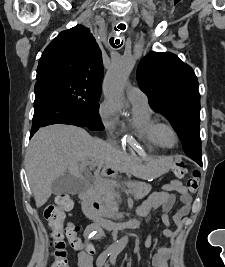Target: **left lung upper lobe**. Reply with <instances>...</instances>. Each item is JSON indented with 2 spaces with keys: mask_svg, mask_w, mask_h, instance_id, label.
Wrapping results in <instances>:
<instances>
[{
  "mask_svg": "<svg viewBox=\"0 0 225 267\" xmlns=\"http://www.w3.org/2000/svg\"><path fill=\"white\" fill-rule=\"evenodd\" d=\"M137 80L151 108L169 120L186 155L200 165V94L193 69L172 53L151 52L140 61Z\"/></svg>",
  "mask_w": 225,
  "mask_h": 267,
  "instance_id": "left-lung-upper-lobe-1",
  "label": "left lung upper lobe"
}]
</instances>
